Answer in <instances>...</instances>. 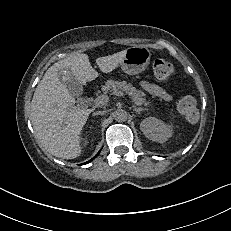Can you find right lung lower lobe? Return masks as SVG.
<instances>
[{"label":"right lung lower lobe","instance_id":"1","mask_svg":"<svg viewBox=\"0 0 231 231\" xmlns=\"http://www.w3.org/2000/svg\"><path fill=\"white\" fill-rule=\"evenodd\" d=\"M97 155H98V154H97ZM97 155H96V156H97ZM96 156H95V157H96ZM95 157H94V158H95ZM90 161H92V159H91V160H89L88 162H86L85 164L89 163Z\"/></svg>","mask_w":231,"mask_h":231}]
</instances>
